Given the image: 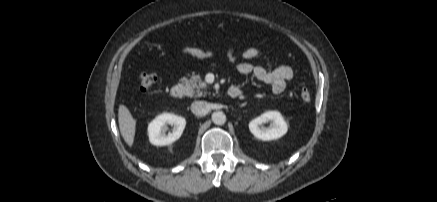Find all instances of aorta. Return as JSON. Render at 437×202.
<instances>
[{"mask_svg":"<svg viewBox=\"0 0 437 202\" xmlns=\"http://www.w3.org/2000/svg\"><path fill=\"white\" fill-rule=\"evenodd\" d=\"M212 121L216 125H223L226 122V115L221 111L213 112Z\"/></svg>","mask_w":437,"mask_h":202,"instance_id":"obj_1","label":"aorta"}]
</instances>
